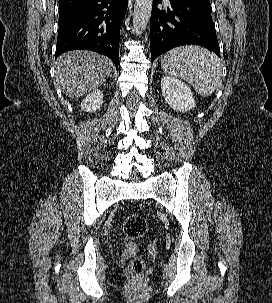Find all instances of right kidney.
Wrapping results in <instances>:
<instances>
[{
	"label": "right kidney",
	"mask_w": 272,
	"mask_h": 303,
	"mask_svg": "<svg viewBox=\"0 0 272 303\" xmlns=\"http://www.w3.org/2000/svg\"><path fill=\"white\" fill-rule=\"evenodd\" d=\"M103 104V93L100 90H95L89 93L81 102V109L86 112H95L100 109Z\"/></svg>",
	"instance_id": "obj_1"
}]
</instances>
